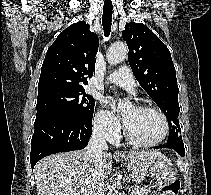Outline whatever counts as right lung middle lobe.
Returning a JSON list of instances; mask_svg holds the SVG:
<instances>
[{"instance_id":"right-lung-middle-lobe-1","label":"right lung middle lobe","mask_w":211,"mask_h":195,"mask_svg":"<svg viewBox=\"0 0 211 195\" xmlns=\"http://www.w3.org/2000/svg\"><path fill=\"white\" fill-rule=\"evenodd\" d=\"M95 100L83 89L54 88L38 92L36 120L48 116L92 120Z\"/></svg>"}]
</instances>
